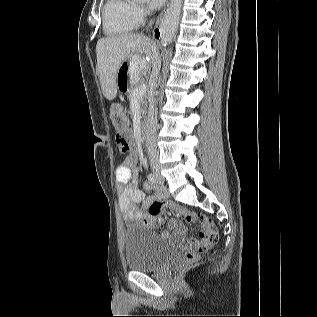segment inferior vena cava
<instances>
[{
	"mask_svg": "<svg viewBox=\"0 0 317 317\" xmlns=\"http://www.w3.org/2000/svg\"><path fill=\"white\" fill-rule=\"evenodd\" d=\"M153 56H154V62H153L151 77H152L153 87L155 88L157 86L156 85L157 76L161 68V60H160L159 52L156 49L153 52ZM157 123H158V120H157L156 100L154 96L151 95L149 99V109H148L145 139H146L148 156H149L151 166L153 169H156L159 165V160H158L159 153H158L157 144H156Z\"/></svg>",
	"mask_w": 317,
	"mask_h": 317,
	"instance_id": "obj_1",
	"label": "inferior vena cava"
}]
</instances>
